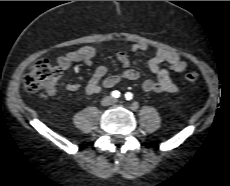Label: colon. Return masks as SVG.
<instances>
[{"instance_id": "5ec220e1", "label": "colon", "mask_w": 230, "mask_h": 186, "mask_svg": "<svg viewBox=\"0 0 230 186\" xmlns=\"http://www.w3.org/2000/svg\"><path fill=\"white\" fill-rule=\"evenodd\" d=\"M183 78L187 82H198L200 75L195 71H189L184 74ZM60 79V69L49 60L40 59L32 64L24 77L23 87L29 93L44 90L53 94L57 90Z\"/></svg>"}]
</instances>
